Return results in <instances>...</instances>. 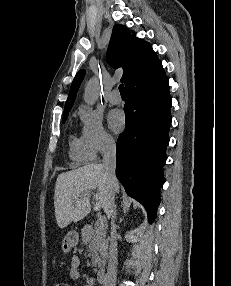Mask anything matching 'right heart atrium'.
I'll return each mask as SVG.
<instances>
[{
    "label": "right heart atrium",
    "instance_id": "1",
    "mask_svg": "<svg viewBox=\"0 0 231 286\" xmlns=\"http://www.w3.org/2000/svg\"><path fill=\"white\" fill-rule=\"evenodd\" d=\"M79 117L82 123V138L94 155L103 154L115 147V140L105 129L99 113L84 107L80 109Z\"/></svg>",
    "mask_w": 231,
    "mask_h": 286
}]
</instances>
